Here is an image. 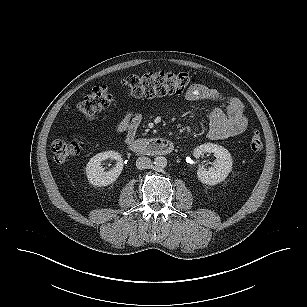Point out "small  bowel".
Masks as SVG:
<instances>
[{
  "mask_svg": "<svg viewBox=\"0 0 307 307\" xmlns=\"http://www.w3.org/2000/svg\"><path fill=\"white\" fill-rule=\"evenodd\" d=\"M185 97L190 101L213 104L208 113L209 130L207 136L210 140L228 139L246 130L248 119L239 99L224 96L218 90L202 84H195ZM218 104H222V106ZM141 121V114L130 112L115 124V130L124 133L126 141H131L135 138Z\"/></svg>",
  "mask_w": 307,
  "mask_h": 307,
  "instance_id": "obj_1",
  "label": "small bowel"
}]
</instances>
